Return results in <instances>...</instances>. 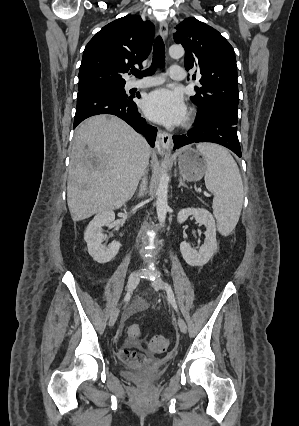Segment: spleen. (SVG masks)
<instances>
[{
	"mask_svg": "<svg viewBox=\"0 0 299 426\" xmlns=\"http://www.w3.org/2000/svg\"><path fill=\"white\" fill-rule=\"evenodd\" d=\"M207 160L206 188L214 194L213 214L219 231L228 235L236 226L243 204V184L239 168L231 154L211 143L197 145Z\"/></svg>",
	"mask_w": 299,
	"mask_h": 426,
	"instance_id": "obj_1",
	"label": "spleen"
}]
</instances>
